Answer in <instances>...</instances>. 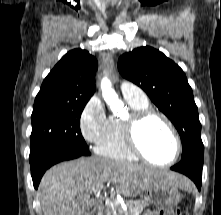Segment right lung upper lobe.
Wrapping results in <instances>:
<instances>
[{"label":"right lung upper lobe","mask_w":221,"mask_h":215,"mask_svg":"<svg viewBox=\"0 0 221 215\" xmlns=\"http://www.w3.org/2000/svg\"><path fill=\"white\" fill-rule=\"evenodd\" d=\"M97 67V60L86 50L69 51L44 79L34 104L88 102L96 91Z\"/></svg>","instance_id":"cb5924a9"}]
</instances>
